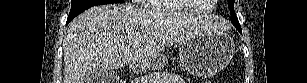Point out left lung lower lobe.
<instances>
[{
	"label": "left lung lower lobe",
	"instance_id": "obj_1",
	"mask_svg": "<svg viewBox=\"0 0 307 83\" xmlns=\"http://www.w3.org/2000/svg\"><path fill=\"white\" fill-rule=\"evenodd\" d=\"M237 30H238L239 32H242V31H241V28H237Z\"/></svg>",
	"mask_w": 307,
	"mask_h": 83
}]
</instances>
